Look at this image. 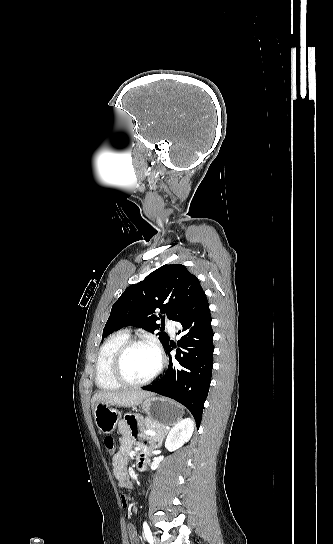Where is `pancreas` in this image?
<instances>
[{"label":"pancreas","mask_w":333,"mask_h":544,"mask_svg":"<svg viewBox=\"0 0 333 544\" xmlns=\"http://www.w3.org/2000/svg\"><path fill=\"white\" fill-rule=\"evenodd\" d=\"M139 426L142 430H152L157 433L166 432V429L164 428L163 425L159 424L156 421L151 420V418H148V417L140 420ZM143 437L152 438V439L156 438V436H148V435H143Z\"/></svg>","instance_id":"pancreas-1"}]
</instances>
